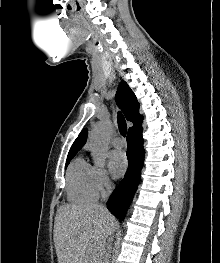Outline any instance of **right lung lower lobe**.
Masks as SVG:
<instances>
[{
    "instance_id": "right-lung-lower-lobe-1",
    "label": "right lung lower lobe",
    "mask_w": 220,
    "mask_h": 263,
    "mask_svg": "<svg viewBox=\"0 0 220 263\" xmlns=\"http://www.w3.org/2000/svg\"><path fill=\"white\" fill-rule=\"evenodd\" d=\"M127 144L129 161L127 172L107 202L109 211L120 220L123 219L140 180L144 159L142 129L128 133Z\"/></svg>"
}]
</instances>
